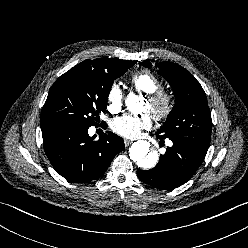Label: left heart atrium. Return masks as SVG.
Segmentation results:
<instances>
[{"label": "left heart atrium", "instance_id": "left-heart-atrium-1", "mask_svg": "<svg viewBox=\"0 0 248 248\" xmlns=\"http://www.w3.org/2000/svg\"><path fill=\"white\" fill-rule=\"evenodd\" d=\"M152 119L149 114L141 116L124 115L116 118L112 123V130L126 138H137L142 130L149 129Z\"/></svg>", "mask_w": 248, "mask_h": 248}]
</instances>
